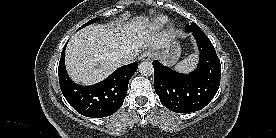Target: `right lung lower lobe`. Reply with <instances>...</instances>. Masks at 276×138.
Returning <instances> with one entry per match:
<instances>
[{
	"instance_id": "obj_1",
	"label": "right lung lower lobe",
	"mask_w": 276,
	"mask_h": 138,
	"mask_svg": "<svg viewBox=\"0 0 276 138\" xmlns=\"http://www.w3.org/2000/svg\"><path fill=\"white\" fill-rule=\"evenodd\" d=\"M64 54L65 47L58 67L59 83L63 95L71 106L80 114L92 118L107 117L115 113L124 102L129 80L137 70L138 63L134 62L118 68L97 84L81 86L69 78Z\"/></svg>"
}]
</instances>
